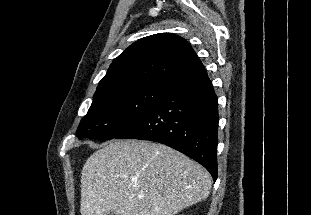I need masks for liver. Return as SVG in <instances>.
<instances>
[{"instance_id": "obj_1", "label": "liver", "mask_w": 311, "mask_h": 215, "mask_svg": "<svg viewBox=\"0 0 311 215\" xmlns=\"http://www.w3.org/2000/svg\"><path fill=\"white\" fill-rule=\"evenodd\" d=\"M208 171L184 154L147 141H113L82 169L81 215H175L208 197Z\"/></svg>"}]
</instances>
